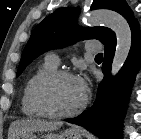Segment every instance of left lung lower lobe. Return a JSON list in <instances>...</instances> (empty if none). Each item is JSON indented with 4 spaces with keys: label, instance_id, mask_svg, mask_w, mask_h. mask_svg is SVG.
<instances>
[{
    "label": "left lung lower lobe",
    "instance_id": "1",
    "mask_svg": "<svg viewBox=\"0 0 141 139\" xmlns=\"http://www.w3.org/2000/svg\"><path fill=\"white\" fill-rule=\"evenodd\" d=\"M132 44L123 67L115 78L110 75L116 37L105 43L102 71L104 79L99 84L93 106L76 118L66 119L67 122L84 126L85 129L100 139H121L122 122L126 113L127 103L135 75L140 66L141 45L138 22L130 25Z\"/></svg>",
    "mask_w": 141,
    "mask_h": 139
}]
</instances>
